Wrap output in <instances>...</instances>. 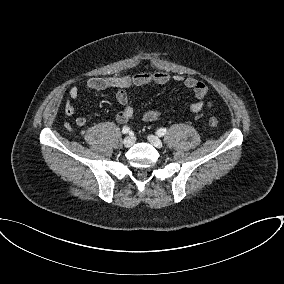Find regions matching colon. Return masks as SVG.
Returning a JSON list of instances; mask_svg holds the SVG:
<instances>
[{
  "mask_svg": "<svg viewBox=\"0 0 284 284\" xmlns=\"http://www.w3.org/2000/svg\"><path fill=\"white\" fill-rule=\"evenodd\" d=\"M209 124L211 125V127L216 128V127H218L219 122H218L217 118L211 116L209 118Z\"/></svg>",
  "mask_w": 284,
  "mask_h": 284,
  "instance_id": "1",
  "label": "colon"
}]
</instances>
